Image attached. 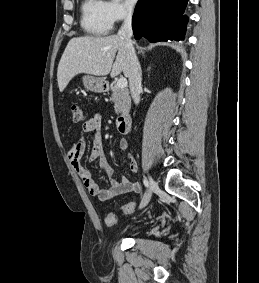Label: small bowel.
<instances>
[{
    "label": "small bowel",
    "instance_id": "obj_1",
    "mask_svg": "<svg viewBox=\"0 0 259 283\" xmlns=\"http://www.w3.org/2000/svg\"><path fill=\"white\" fill-rule=\"evenodd\" d=\"M82 134L92 133V146L89 152L87 162L93 163L98 161L103 169L104 176L109 183V187L101 189L92 177L89 167L82 163V157L86 149V141L82 136L80 137L68 151V159L78 175L80 176L84 186L88 189L89 193L98 198L100 201H108L112 198L124 193H140L141 185L138 182L132 181L125 176H121L120 181L114 170L109 166L106 161L103 150V137L101 132V118L99 115H94L84 121L81 128ZM121 151H126L128 142L121 139L118 143ZM127 163L131 172L137 171V163L135 158L128 154Z\"/></svg>",
    "mask_w": 259,
    "mask_h": 283
}]
</instances>
